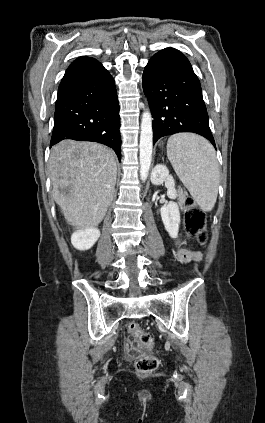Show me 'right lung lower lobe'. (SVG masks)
<instances>
[{"mask_svg": "<svg viewBox=\"0 0 265 423\" xmlns=\"http://www.w3.org/2000/svg\"><path fill=\"white\" fill-rule=\"evenodd\" d=\"M119 103L109 72L95 59L79 57L59 85L50 147L66 139L111 147L121 158Z\"/></svg>", "mask_w": 265, "mask_h": 423, "instance_id": "1", "label": "right lung lower lobe"}]
</instances>
